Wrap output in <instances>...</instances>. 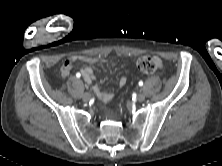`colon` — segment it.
<instances>
[{"mask_svg": "<svg viewBox=\"0 0 222 166\" xmlns=\"http://www.w3.org/2000/svg\"><path fill=\"white\" fill-rule=\"evenodd\" d=\"M137 67L145 74H153L162 69V62L154 56H142L137 61Z\"/></svg>", "mask_w": 222, "mask_h": 166, "instance_id": "5ec220e1", "label": "colon"}]
</instances>
